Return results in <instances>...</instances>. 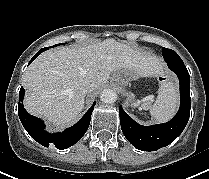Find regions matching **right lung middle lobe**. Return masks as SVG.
I'll use <instances>...</instances> for the list:
<instances>
[{
  "label": "right lung middle lobe",
  "instance_id": "dd1d6c3e",
  "mask_svg": "<svg viewBox=\"0 0 209 179\" xmlns=\"http://www.w3.org/2000/svg\"><path fill=\"white\" fill-rule=\"evenodd\" d=\"M58 45H60V44H56V45H54V46H51V47H56V46H58ZM45 50H47V49H49V47H47V48H44Z\"/></svg>",
  "mask_w": 209,
  "mask_h": 179
}]
</instances>
